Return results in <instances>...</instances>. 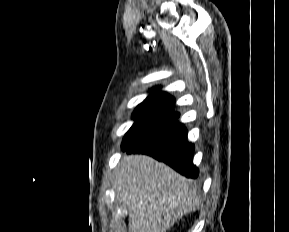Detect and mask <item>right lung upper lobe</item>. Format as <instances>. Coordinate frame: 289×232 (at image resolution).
<instances>
[{
    "instance_id": "1",
    "label": "right lung upper lobe",
    "mask_w": 289,
    "mask_h": 232,
    "mask_svg": "<svg viewBox=\"0 0 289 232\" xmlns=\"http://www.w3.org/2000/svg\"><path fill=\"white\" fill-rule=\"evenodd\" d=\"M142 104L157 108L172 109L175 104V99L166 92L154 89Z\"/></svg>"
}]
</instances>
